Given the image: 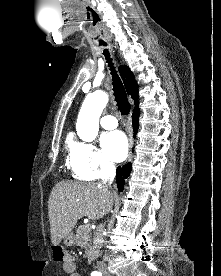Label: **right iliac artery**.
Wrapping results in <instances>:
<instances>
[{
	"label": "right iliac artery",
	"mask_w": 221,
	"mask_h": 276,
	"mask_svg": "<svg viewBox=\"0 0 221 276\" xmlns=\"http://www.w3.org/2000/svg\"><path fill=\"white\" fill-rule=\"evenodd\" d=\"M91 276H102V273L95 271L92 272Z\"/></svg>",
	"instance_id": "right-iliac-artery-1"
}]
</instances>
